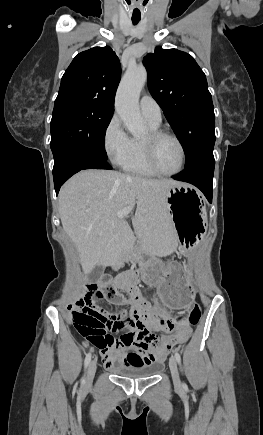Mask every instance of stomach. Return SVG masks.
<instances>
[{"mask_svg": "<svg viewBox=\"0 0 263 435\" xmlns=\"http://www.w3.org/2000/svg\"><path fill=\"white\" fill-rule=\"evenodd\" d=\"M169 218L173 222V233H178L179 246L185 251L197 247L203 233H207L209 216L201 194L192 186L180 183L171 187L166 196ZM182 251V254H185ZM143 267L142 281L156 288V296L165 310H188L192 303V290H188V260L165 258L163 264L151 254H130L126 258Z\"/></svg>", "mask_w": 263, "mask_h": 435, "instance_id": "stomach-1", "label": "stomach"}]
</instances>
